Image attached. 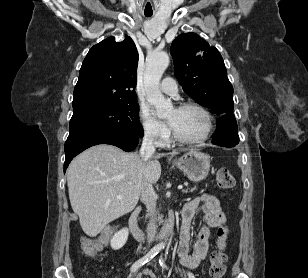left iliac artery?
<instances>
[{"label":"left iliac artery","mask_w":308,"mask_h":278,"mask_svg":"<svg viewBox=\"0 0 308 278\" xmlns=\"http://www.w3.org/2000/svg\"><path fill=\"white\" fill-rule=\"evenodd\" d=\"M159 263H160V266L162 268H166L167 269V266H166V264H165V262H164L162 257L159 259ZM188 277L189 278H195L194 275L192 273H190V272H188Z\"/></svg>","instance_id":"left-iliac-artery-1"}]
</instances>
